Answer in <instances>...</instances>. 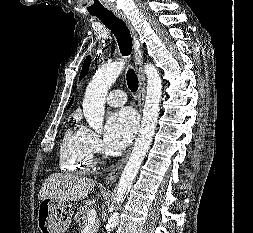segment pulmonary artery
Returning <instances> with one entry per match:
<instances>
[{"label": "pulmonary artery", "mask_w": 253, "mask_h": 233, "mask_svg": "<svg viewBox=\"0 0 253 233\" xmlns=\"http://www.w3.org/2000/svg\"><path fill=\"white\" fill-rule=\"evenodd\" d=\"M127 96L122 90H112L106 97V102L112 107H119L125 104Z\"/></svg>", "instance_id": "e3ab8cb5"}]
</instances>
